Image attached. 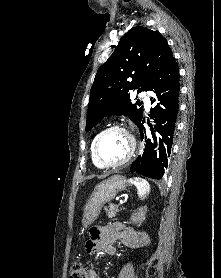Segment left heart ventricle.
I'll use <instances>...</instances> for the list:
<instances>
[{
	"instance_id": "b2bd125f",
	"label": "left heart ventricle",
	"mask_w": 221,
	"mask_h": 278,
	"mask_svg": "<svg viewBox=\"0 0 221 278\" xmlns=\"http://www.w3.org/2000/svg\"><path fill=\"white\" fill-rule=\"evenodd\" d=\"M130 149L128 137L119 131L107 133L100 141L98 153L106 164H115L123 160Z\"/></svg>"
}]
</instances>
